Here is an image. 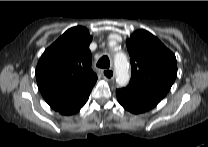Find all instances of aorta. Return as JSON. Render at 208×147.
I'll use <instances>...</instances> for the list:
<instances>
[{"label":"aorta","mask_w":208,"mask_h":147,"mask_svg":"<svg viewBox=\"0 0 208 147\" xmlns=\"http://www.w3.org/2000/svg\"><path fill=\"white\" fill-rule=\"evenodd\" d=\"M116 82L119 86H126L130 79L129 64L124 53L119 52L114 56Z\"/></svg>","instance_id":"1"}]
</instances>
